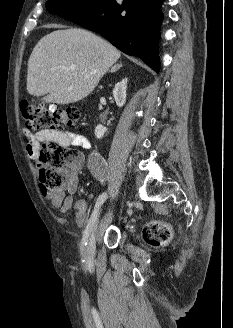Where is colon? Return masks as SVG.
I'll return each instance as SVG.
<instances>
[{"instance_id": "5ec220e1", "label": "colon", "mask_w": 233, "mask_h": 328, "mask_svg": "<svg viewBox=\"0 0 233 328\" xmlns=\"http://www.w3.org/2000/svg\"><path fill=\"white\" fill-rule=\"evenodd\" d=\"M21 110L30 130L73 128L81 118L77 108L59 109L53 105H34L27 101L22 102ZM81 159V153L76 149L62 147L52 140L44 141L36 159L41 188L52 191L64 187L75 178ZM143 237L150 245L160 246L170 240L171 232L163 224L150 223L144 228Z\"/></svg>"}]
</instances>
